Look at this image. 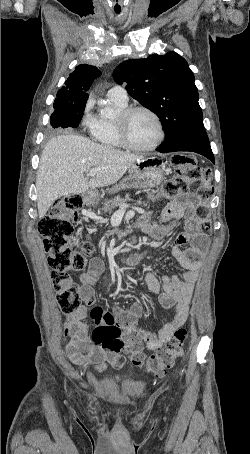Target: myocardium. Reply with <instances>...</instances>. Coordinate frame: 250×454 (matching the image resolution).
Segmentation results:
<instances>
[{
  "label": "myocardium",
  "mask_w": 250,
  "mask_h": 454,
  "mask_svg": "<svg viewBox=\"0 0 250 454\" xmlns=\"http://www.w3.org/2000/svg\"><path fill=\"white\" fill-rule=\"evenodd\" d=\"M137 112H144L149 114L155 121L158 129L157 139L150 145L146 147H140L132 143L129 132H128V123L131 116ZM116 128L120 141L124 147L135 152H150L157 149L165 138V130L161 118L159 115L152 109L146 106H130L120 110L116 114L115 118Z\"/></svg>",
  "instance_id": "obj_1"
}]
</instances>
